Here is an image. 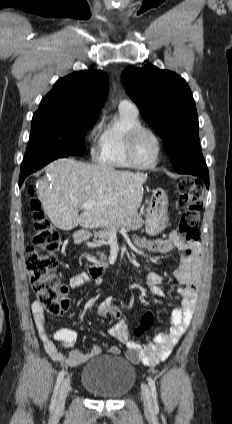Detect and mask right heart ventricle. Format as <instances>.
<instances>
[{"label": "right heart ventricle", "mask_w": 232, "mask_h": 424, "mask_svg": "<svg viewBox=\"0 0 232 424\" xmlns=\"http://www.w3.org/2000/svg\"><path fill=\"white\" fill-rule=\"evenodd\" d=\"M141 125L138 112L119 108L117 116L100 131L98 162L112 168L133 167L126 155L127 137L134 128Z\"/></svg>", "instance_id": "obj_1"}]
</instances>
